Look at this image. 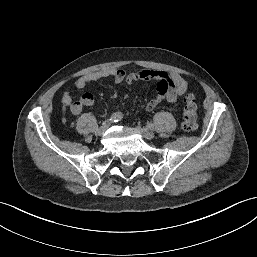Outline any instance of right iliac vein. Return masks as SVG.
<instances>
[{
	"label": "right iliac vein",
	"mask_w": 257,
	"mask_h": 257,
	"mask_svg": "<svg viewBox=\"0 0 257 257\" xmlns=\"http://www.w3.org/2000/svg\"><path fill=\"white\" fill-rule=\"evenodd\" d=\"M109 127V123L108 122H105L98 130H97V134L99 136H102L105 134V132L107 131Z\"/></svg>",
	"instance_id": "1"
}]
</instances>
